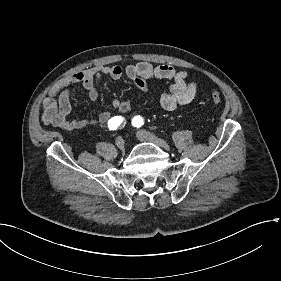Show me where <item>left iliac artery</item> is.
I'll return each instance as SVG.
<instances>
[{
	"label": "left iliac artery",
	"instance_id": "left-iliac-artery-1",
	"mask_svg": "<svg viewBox=\"0 0 281 281\" xmlns=\"http://www.w3.org/2000/svg\"><path fill=\"white\" fill-rule=\"evenodd\" d=\"M132 124L135 127H141L144 124V119L141 116H135L132 119Z\"/></svg>",
	"mask_w": 281,
	"mask_h": 281
}]
</instances>
